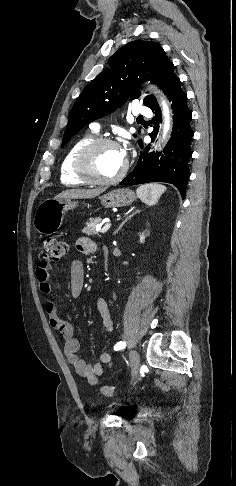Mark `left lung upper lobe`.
Masks as SVG:
<instances>
[{
	"label": "left lung upper lobe",
	"instance_id": "1",
	"mask_svg": "<svg viewBox=\"0 0 236 486\" xmlns=\"http://www.w3.org/2000/svg\"><path fill=\"white\" fill-rule=\"evenodd\" d=\"M108 64L109 67L85 87L73 105L62 147L91 121L115 111L129 97L138 98L142 81H151L163 89L177 77L165 51L153 41L136 40L126 44ZM153 100L152 95L146 96L144 105L149 106Z\"/></svg>",
	"mask_w": 236,
	"mask_h": 486
}]
</instances>
